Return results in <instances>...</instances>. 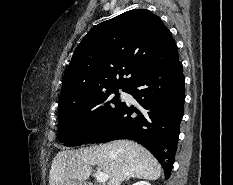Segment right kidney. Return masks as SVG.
<instances>
[{"mask_svg":"<svg viewBox=\"0 0 233 185\" xmlns=\"http://www.w3.org/2000/svg\"><path fill=\"white\" fill-rule=\"evenodd\" d=\"M133 185H150V183L146 181H139V182L134 183Z\"/></svg>","mask_w":233,"mask_h":185,"instance_id":"obj_1","label":"right kidney"}]
</instances>
